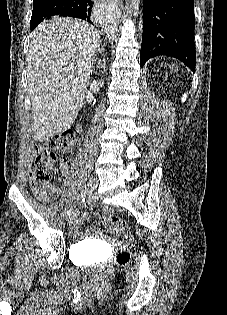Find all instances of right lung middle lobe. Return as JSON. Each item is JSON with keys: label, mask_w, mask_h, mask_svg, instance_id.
Returning <instances> with one entry per match:
<instances>
[{"label": "right lung middle lobe", "mask_w": 227, "mask_h": 315, "mask_svg": "<svg viewBox=\"0 0 227 315\" xmlns=\"http://www.w3.org/2000/svg\"><path fill=\"white\" fill-rule=\"evenodd\" d=\"M75 0H34L30 21L31 31L44 20L58 16L61 10L73 5Z\"/></svg>", "instance_id": "obj_1"}]
</instances>
